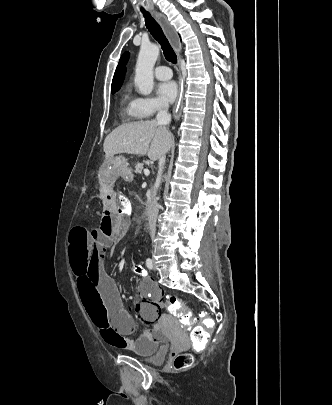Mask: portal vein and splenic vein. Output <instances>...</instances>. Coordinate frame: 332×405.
<instances>
[{"instance_id":"obj_1","label":"portal vein and splenic vein","mask_w":332,"mask_h":405,"mask_svg":"<svg viewBox=\"0 0 332 405\" xmlns=\"http://www.w3.org/2000/svg\"><path fill=\"white\" fill-rule=\"evenodd\" d=\"M144 174H145L146 176H149L150 171H149L148 169H144Z\"/></svg>"}]
</instances>
